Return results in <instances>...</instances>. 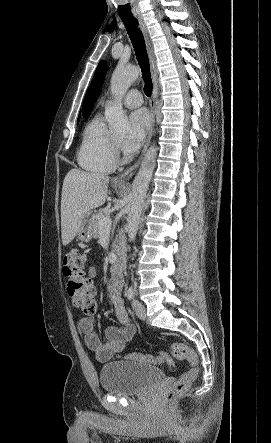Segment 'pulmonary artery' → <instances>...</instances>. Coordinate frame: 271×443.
Here are the masks:
<instances>
[{
  "label": "pulmonary artery",
  "mask_w": 271,
  "mask_h": 443,
  "mask_svg": "<svg viewBox=\"0 0 271 443\" xmlns=\"http://www.w3.org/2000/svg\"><path fill=\"white\" fill-rule=\"evenodd\" d=\"M116 100L129 108H136L143 104L142 94L136 89L128 91Z\"/></svg>",
  "instance_id": "e3ab8cb5"
}]
</instances>
